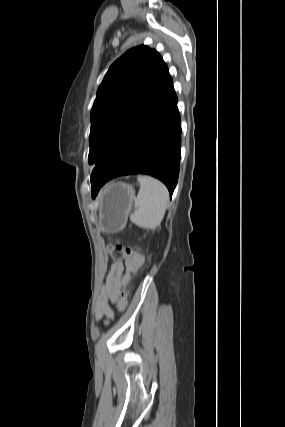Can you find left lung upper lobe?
Returning a JSON list of instances; mask_svg holds the SVG:
<instances>
[{
	"label": "left lung upper lobe",
	"mask_w": 285,
	"mask_h": 427,
	"mask_svg": "<svg viewBox=\"0 0 285 427\" xmlns=\"http://www.w3.org/2000/svg\"><path fill=\"white\" fill-rule=\"evenodd\" d=\"M168 68L156 50L141 45L116 60L100 84L91 110L89 163H96L149 104Z\"/></svg>",
	"instance_id": "5c2ea615"
}]
</instances>
